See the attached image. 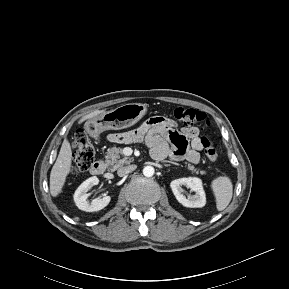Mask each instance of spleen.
Listing matches in <instances>:
<instances>
[{"label": "spleen", "mask_w": 289, "mask_h": 289, "mask_svg": "<svg viewBox=\"0 0 289 289\" xmlns=\"http://www.w3.org/2000/svg\"><path fill=\"white\" fill-rule=\"evenodd\" d=\"M211 189L215 196L217 210H224L229 205L233 195L231 179L227 176H219L211 182Z\"/></svg>", "instance_id": "spleen-1"}]
</instances>
